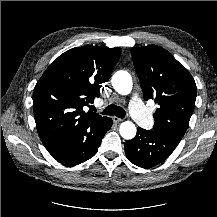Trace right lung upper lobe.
Masks as SVG:
<instances>
[{"mask_svg": "<svg viewBox=\"0 0 217 217\" xmlns=\"http://www.w3.org/2000/svg\"><path fill=\"white\" fill-rule=\"evenodd\" d=\"M120 55V48L86 45L66 51L46 69L33 91V109L47 150L78 141L106 118L83 107L100 96Z\"/></svg>", "mask_w": 217, "mask_h": 217, "instance_id": "obj_1", "label": "right lung upper lobe"}]
</instances>
